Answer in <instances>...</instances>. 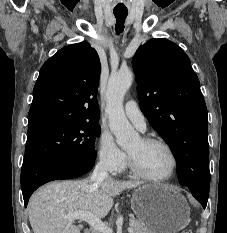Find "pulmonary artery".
Segmentation results:
<instances>
[{
	"label": "pulmonary artery",
	"mask_w": 227,
	"mask_h": 233,
	"mask_svg": "<svg viewBox=\"0 0 227 233\" xmlns=\"http://www.w3.org/2000/svg\"><path fill=\"white\" fill-rule=\"evenodd\" d=\"M125 114L128 119L141 131L146 130V119L137 103L134 100H128L124 105Z\"/></svg>",
	"instance_id": "pulmonary-artery-1"
}]
</instances>
